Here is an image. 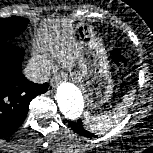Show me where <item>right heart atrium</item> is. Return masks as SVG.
<instances>
[{
  "label": "right heart atrium",
  "mask_w": 153,
  "mask_h": 153,
  "mask_svg": "<svg viewBox=\"0 0 153 153\" xmlns=\"http://www.w3.org/2000/svg\"><path fill=\"white\" fill-rule=\"evenodd\" d=\"M31 63L35 68L41 71H47L50 68V61L47 59V57L44 54L40 52H35L33 54Z\"/></svg>",
  "instance_id": "right-heart-atrium-1"
}]
</instances>
